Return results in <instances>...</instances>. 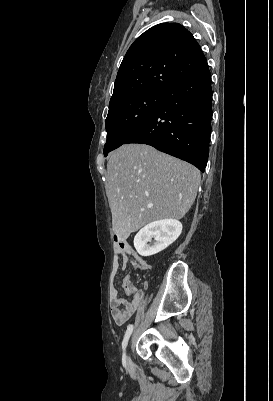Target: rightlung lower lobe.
Segmentation results:
<instances>
[{"instance_id":"obj_1","label":"right lung lower lobe","mask_w":273,"mask_h":401,"mask_svg":"<svg viewBox=\"0 0 273 401\" xmlns=\"http://www.w3.org/2000/svg\"><path fill=\"white\" fill-rule=\"evenodd\" d=\"M211 100L207 65L166 91L163 101L124 144L151 145L204 171L211 134Z\"/></svg>"}]
</instances>
